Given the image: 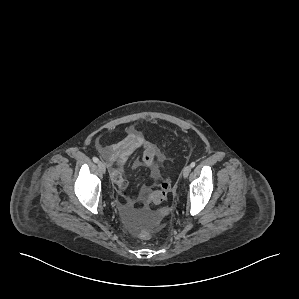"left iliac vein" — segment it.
I'll list each match as a JSON object with an SVG mask.
<instances>
[{
  "label": "left iliac vein",
  "mask_w": 299,
  "mask_h": 299,
  "mask_svg": "<svg viewBox=\"0 0 299 299\" xmlns=\"http://www.w3.org/2000/svg\"><path fill=\"white\" fill-rule=\"evenodd\" d=\"M191 172V166H185L184 169H183V176L184 178L188 177V175L190 174Z\"/></svg>",
  "instance_id": "left-iliac-vein-1"
}]
</instances>
